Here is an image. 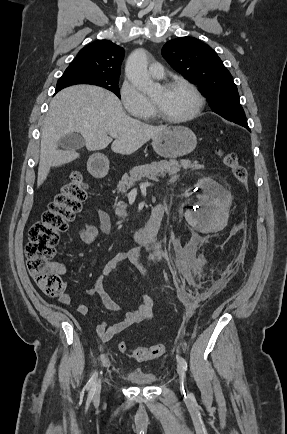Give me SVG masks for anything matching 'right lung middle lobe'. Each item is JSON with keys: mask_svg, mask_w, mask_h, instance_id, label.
Wrapping results in <instances>:
<instances>
[{"mask_svg": "<svg viewBox=\"0 0 287 434\" xmlns=\"http://www.w3.org/2000/svg\"><path fill=\"white\" fill-rule=\"evenodd\" d=\"M118 82L119 78L90 76L85 73L66 69L62 77L58 80L56 88H65L74 84H93L112 91L120 98Z\"/></svg>", "mask_w": 287, "mask_h": 434, "instance_id": "right-lung-middle-lobe-1", "label": "right lung middle lobe"}]
</instances>
